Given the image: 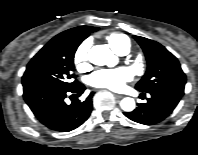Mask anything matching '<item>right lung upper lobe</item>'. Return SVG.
<instances>
[{
    "label": "right lung upper lobe",
    "instance_id": "obj_1",
    "mask_svg": "<svg viewBox=\"0 0 198 155\" xmlns=\"http://www.w3.org/2000/svg\"><path fill=\"white\" fill-rule=\"evenodd\" d=\"M97 28L91 27V26H79L75 27L69 30H66L57 36H55L53 39H63V38H69V37H74V36H87L93 32L96 31Z\"/></svg>",
    "mask_w": 198,
    "mask_h": 155
}]
</instances>
